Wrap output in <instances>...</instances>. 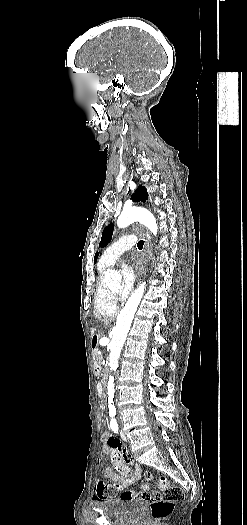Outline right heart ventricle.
Segmentation results:
<instances>
[{"instance_id":"1","label":"right heart ventricle","mask_w":247,"mask_h":525,"mask_svg":"<svg viewBox=\"0 0 247 525\" xmlns=\"http://www.w3.org/2000/svg\"><path fill=\"white\" fill-rule=\"evenodd\" d=\"M110 266L111 264H107L103 256H101L97 264L98 275L96 279V295L93 310L95 317H115L119 311L117 304L107 305L105 302L107 294L105 275Z\"/></svg>"}]
</instances>
